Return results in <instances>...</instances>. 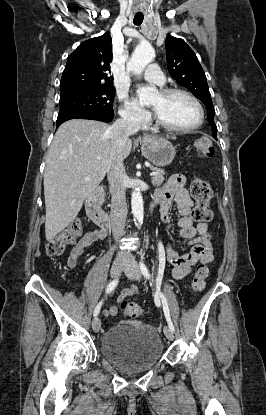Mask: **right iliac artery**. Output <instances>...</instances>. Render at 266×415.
Here are the masks:
<instances>
[{"instance_id": "82829eb1", "label": "right iliac artery", "mask_w": 266, "mask_h": 415, "mask_svg": "<svg viewBox=\"0 0 266 415\" xmlns=\"http://www.w3.org/2000/svg\"><path fill=\"white\" fill-rule=\"evenodd\" d=\"M117 284H118V279H115V280L111 281V282L108 284L107 288H106V293H109V292H111L112 290H114V289H115V287L117 286ZM101 306H102V301H101V302H99V303L97 304V306L95 307V309H94V316H95V317L99 314L100 309H101Z\"/></svg>"}]
</instances>
